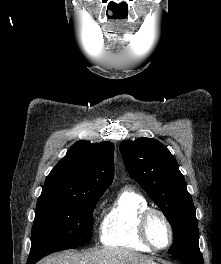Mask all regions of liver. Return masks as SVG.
<instances>
[{"instance_id": "6515ba94", "label": "liver", "mask_w": 221, "mask_h": 264, "mask_svg": "<svg viewBox=\"0 0 221 264\" xmlns=\"http://www.w3.org/2000/svg\"><path fill=\"white\" fill-rule=\"evenodd\" d=\"M149 257L127 249L104 248L85 253L66 251L43 259L38 264H147Z\"/></svg>"}]
</instances>
